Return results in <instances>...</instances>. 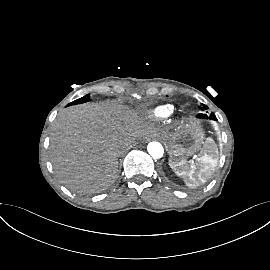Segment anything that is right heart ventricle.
I'll return each instance as SVG.
<instances>
[{
  "instance_id": "obj_1",
  "label": "right heart ventricle",
  "mask_w": 270,
  "mask_h": 270,
  "mask_svg": "<svg viewBox=\"0 0 270 270\" xmlns=\"http://www.w3.org/2000/svg\"><path fill=\"white\" fill-rule=\"evenodd\" d=\"M173 106L170 104L160 105L155 107L150 115L152 118L157 120H163L168 118L173 113Z\"/></svg>"
}]
</instances>
